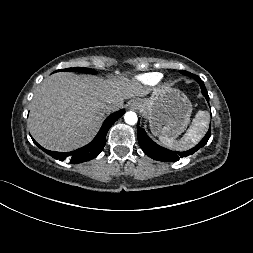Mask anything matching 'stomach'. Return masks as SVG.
Here are the masks:
<instances>
[{"mask_svg": "<svg viewBox=\"0 0 253 253\" xmlns=\"http://www.w3.org/2000/svg\"><path fill=\"white\" fill-rule=\"evenodd\" d=\"M133 101L149 120L154 135L176 138L189 124L192 105L187 96L178 89H158L150 98H137Z\"/></svg>", "mask_w": 253, "mask_h": 253, "instance_id": "0dacf381", "label": "stomach"}]
</instances>
